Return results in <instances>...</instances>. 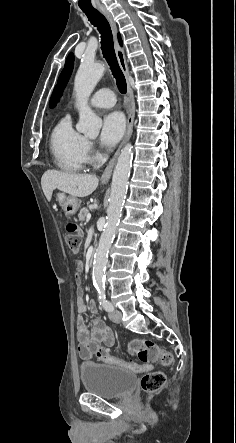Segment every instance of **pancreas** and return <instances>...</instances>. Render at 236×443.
<instances>
[{
    "mask_svg": "<svg viewBox=\"0 0 236 443\" xmlns=\"http://www.w3.org/2000/svg\"><path fill=\"white\" fill-rule=\"evenodd\" d=\"M89 214V209L88 208H82L78 214V218L80 221H85V219L87 218V215Z\"/></svg>",
    "mask_w": 236,
    "mask_h": 443,
    "instance_id": "1",
    "label": "pancreas"
}]
</instances>
